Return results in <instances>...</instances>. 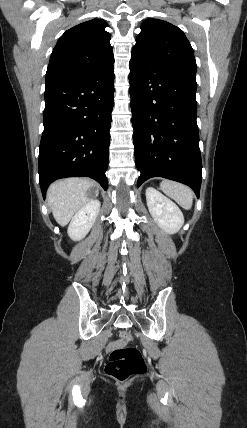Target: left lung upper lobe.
Returning a JSON list of instances; mask_svg holds the SVG:
<instances>
[{"label": "left lung upper lobe", "mask_w": 247, "mask_h": 428, "mask_svg": "<svg viewBox=\"0 0 247 428\" xmlns=\"http://www.w3.org/2000/svg\"><path fill=\"white\" fill-rule=\"evenodd\" d=\"M132 54L147 57L163 68L196 82L193 49L183 31L171 23L153 18L145 20Z\"/></svg>", "instance_id": "left-lung-upper-lobe-1"}]
</instances>
